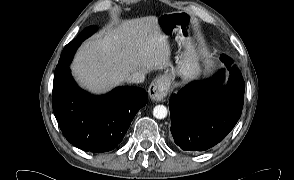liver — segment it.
<instances>
[{"mask_svg": "<svg viewBox=\"0 0 294 180\" xmlns=\"http://www.w3.org/2000/svg\"><path fill=\"white\" fill-rule=\"evenodd\" d=\"M157 20L156 16L124 20L85 41L72 64L80 86L92 93H105L127 82L134 72L171 66L168 36L161 32Z\"/></svg>", "mask_w": 294, "mask_h": 180, "instance_id": "6515ba94", "label": "liver"}]
</instances>
